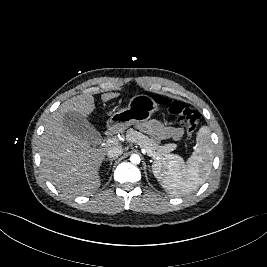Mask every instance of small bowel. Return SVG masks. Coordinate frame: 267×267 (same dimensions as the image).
Wrapping results in <instances>:
<instances>
[{"mask_svg":"<svg viewBox=\"0 0 267 267\" xmlns=\"http://www.w3.org/2000/svg\"><path fill=\"white\" fill-rule=\"evenodd\" d=\"M140 129L158 140L167 138L179 139L183 134L182 128L164 127L160 122L151 120L140 125Z\"/></svg>","mask_w":267,"mask_h":267,"instance_id":"c3829d8e","label":"small bowel"}]
</instances>
